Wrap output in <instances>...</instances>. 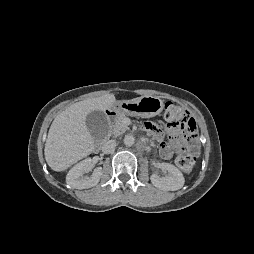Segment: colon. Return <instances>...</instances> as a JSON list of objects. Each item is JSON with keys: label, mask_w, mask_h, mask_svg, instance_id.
Segmentation results:
<instances>
[{"label": "colon", "mask_w": 254, "mask_h": 254, "mask_svg": "<svg viewBox=\"0 0 254 254\" xmlns=\"http://www.w3.org/2000/svg\"><path fill=\"white\" fill-rule=\"evenodd\" d=\"M164 114L168 127L179 129L182 138L189 143L188 146L182 148L186 153L178 156L176 162L183 172L191 173L196 166L197 124L186 109L174 102L165 104Z\"/></svg>", "instance_id": "obj_1"}]
</instances>
